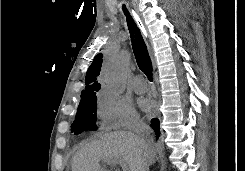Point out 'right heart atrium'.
<instances>
[{"label":"right heart atrium","mask_w":245,"mask_h":171,"mask_svg":"<svg viewBox=\"0 0 245 171\" xmlns=\"http://www.w3.org/2000/svg\"><path fill=\"white\" fill-rule=\"evenodd\" d=\"M96 117L97 124L102 130H131L141 126L134 108L108 91H101L98 94Z\"/></svg>","instance_id":"d8ad5b80"}]
</instances>
